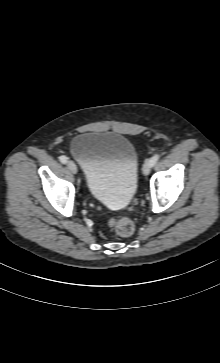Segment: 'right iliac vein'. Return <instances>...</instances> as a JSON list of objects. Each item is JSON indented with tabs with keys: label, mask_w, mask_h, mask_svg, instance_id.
Instances as JSON below:
<instances>
[{
	"label": "right iliac vein",
	"mask_w": 220,
	"mask_h": 363,
	"mask_svg": "<svg viewBox=\"0 0 220 363\" xmlns=\"http://www.w3.org/2000/svg\"><path fill=\"white\" fill-rule=\"evenodd\" d=\"M67 167L69 168V170L73 173L76 174L77 173V166L73 161H68L67 162Z\"/></svg>",
	"instance_id": "obj_1"
}]
</instances>
